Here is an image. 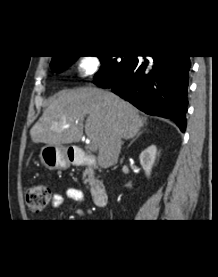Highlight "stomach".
Here are the masks:
<instances>
[{"instance_id": "1", "label": "stomach", "mask_w": 218, "mask_h": 277, "mask_svg": "<svg viewBox=\"0 0 218 277\" xmlns=\"http://www.w3.org/2000/svg\"><path fill=\"white\" fill-rule=\"evenodd\" d=\"M43 166L50 170L66 169L70 166L67 149L63 146H44L40 151Z\"/></svg>"}]
</instances>
